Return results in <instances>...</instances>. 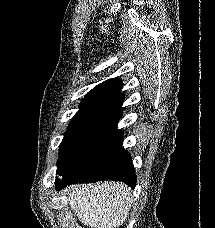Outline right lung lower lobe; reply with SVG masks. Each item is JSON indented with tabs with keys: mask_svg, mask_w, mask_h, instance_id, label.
Here are the masks:
<instances>
[{
	"mask_svg": "<svg viewBox=\"0 0 215 228\" xmlns=\"http://www.w3.org/2000/svg\"><path fill=\"white\" fill-rule=\"evenodd\" d=\"M122 138L123 134L81 163L56 184V189L104 180L122 181L134 188L135 169L130 154L122 148Z\"/></svg>",
	"mask_w": 215,
	"mask_h": 228,
	"instance_id": "1",
	"label": "right lung lower lobe"
}]
</instances>
